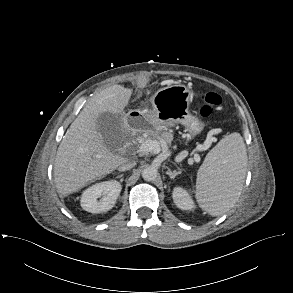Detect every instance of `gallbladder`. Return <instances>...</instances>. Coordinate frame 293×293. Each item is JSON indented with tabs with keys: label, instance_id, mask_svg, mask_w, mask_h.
I'll use <instances>...</instances> for the list:
<instances>
[{
	"label": "gallbladder",
	"instance_id": "obj_1",
	"mask_svg": "<svg viewBox=\"0 0 293 293\" xmlns=\"http://www.w3.org/2000/svg\"><path fill=\"white\" fill-rule=\"evenodd\" d=\"M97 128L107 147L120 139L121 122L117 115L104 112L97 119Z\"/></svg>",
	"mask_w": 293,
	"mask_h": 293
}]
</instances>
